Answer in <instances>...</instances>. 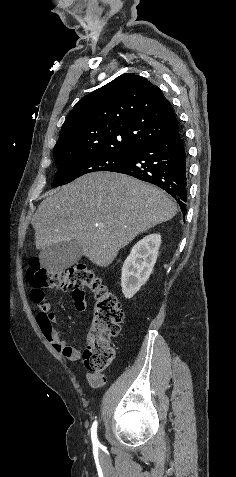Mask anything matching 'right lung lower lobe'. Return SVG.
<instances>
[{"label": "right lung lower lobe", "mask_w": 236, "mask_h": 477, "mask_svg": "<svg viewBox=\"0 0 236 477\" xmlns=\"http://www.w3.org/2000/svg\"><path fill=\"white\" fill-rule=\"evenodd\" d=\"M157 185L169 193L186 214L187 154L179 126L165 138L136 150L128 161L111 170Z\"/></svg>", "instance_id": "1"}]
</instances>
